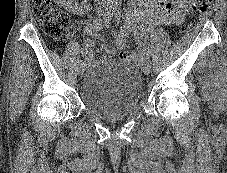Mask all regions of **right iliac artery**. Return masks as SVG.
I'll return each mask as SVG.
<instances>
[{"instance_id": "1", "label": "right iliac artery", "mask_w": 227, "mask_h": 173, "mask_svg": "<svg viewBox=\"0 0 227 173\" xmlns=\"http://www.w3.org/2000/svg\"><path fill=\"white\" fill-rule=\"evenodd\" d=\"M115 14V13H114ZM113 15V12L112 13H110V12H108V14H107V17H106V19H105V25L107 26V24L109 23V20H110V18H111V16ZM82 64H84V61H80V65H82Z\"/></svg>"}]
</instances>
